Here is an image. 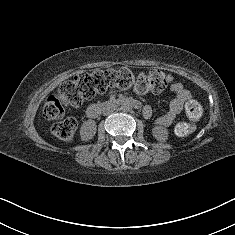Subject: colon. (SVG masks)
<instances>
[{"instance_id": "colon-1", "label": "colon", "mask_w": 235, "mask_h": 235, "mask_svg": "<svg viewBox=\"0 0 235 235\" xmlns=\"http://www.w3.org/2000/svg\"><path fill=\"white\" fill-rule=\"evenodd\" d=\"M171 81V75L160 70L141 73L137 77L126 68L82 72L64 82L56 94L47 98L43 107V115L49 120H59L63 118L66 106L78 107L85 100L108 89H127L134 86L139 93L149 91L159 93L165 90ZM185 112L191 121H197L202 109L197 101L189 100L185 105ZM191 130L192 125L187 123H180L175 128L178 135H187ZM76 132L77 123L73 118L63 119L52 127V133L64 142L72 141Z\"/></svg>"}]
</instances>
